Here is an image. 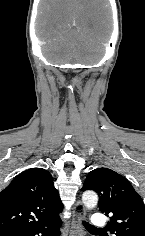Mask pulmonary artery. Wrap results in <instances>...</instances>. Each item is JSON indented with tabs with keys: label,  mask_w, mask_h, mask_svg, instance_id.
I'll use <instances>...</instances> for the list:
<instances>
[{
	"label": "pulmonary artery",
	"mask_w": 145,
	"mask_h": 236,
	"mask_svg": "<svg viewBox=\"0 0 145 236\" xmlns=\"http://www.w3.org/2000/svg\"><path fill=\"white\" fill-rule=\"evenodd\" d=\"M107 223V218L100 213H96L91 217V224L94 227H103Z\"/></svg>",
	"instance_id": "pulmonary-artery-1"
}]
</instances>
